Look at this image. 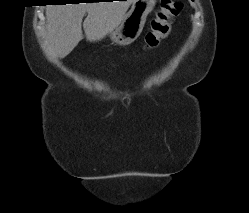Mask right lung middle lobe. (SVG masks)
Here are the masks:
<instances>
[{
  "instance_id": "dd1d6c3e",
  "label": "right lung middle lobe",
  "mask_w": 249,
  "mask_h": 213,
  "mask_svg": "<svg viewBox=\"0 0 249 213\" xmlns=\"http://www.w3.org/2000/svg\"><path fill=\"white\" fill-rule=\"evenodd\" d=\"M64 1V0H63ZM66 2L70 1V0H65ZM72 1V0H71Z\"/></svg>"
}]
</instances>
